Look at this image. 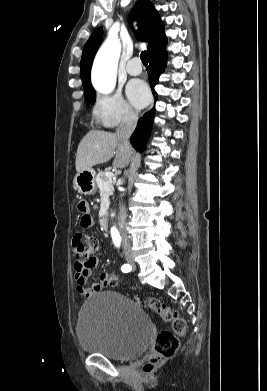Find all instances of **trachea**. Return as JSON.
I'll use <instances>...</instances> for the list:
<instances>
[{
	"mask_svg": "<svg viewBox=\"0 0 267 391\" xmlns=\"http://www.w3.org/2000/svg\"><path fill=\"white\" fill-rule=\"evenodd\" d=\"M140 58H141V61L144 65H147L148 64V60H147V53L146 51H142V53L140 54Z\"/></svg>",
	"mask_w": 267,
	"mask_h": 391,
	"instance_id": "obj_1",
	"label": "trachea"
}]
</instances>
